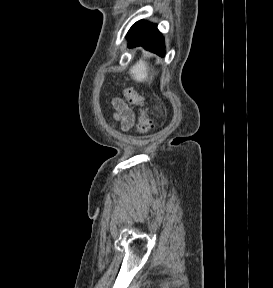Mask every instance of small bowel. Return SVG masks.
<instances>
[{
    "mask_svg": "<svg viewBox=\"0 0 273 288\" xmlns=\"http://www.w3.org/2000/svg\"><path fill=\"white\" fill-rule=\"evenodd\" d=\"M112 105L115 110L114 117L118 121L120 129L122 131L130 130L135 121V115L132 109L120 98H114L112 100Z\"/></svg>",
    "mask_w": 273,
    "mask_h": 288,
    "instance_id": "1",
    "label": "small bowel"
}]
</instances>
